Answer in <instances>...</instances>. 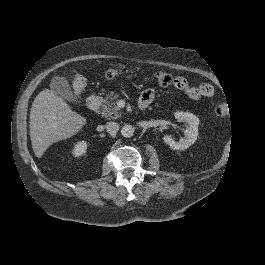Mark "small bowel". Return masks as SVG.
Returning <instances> with one entry per match:
<instances>
[{
  "label": "small bowel",
  "mask_w": 265,
  "mask_h": 265,
  "mask_svg": "<svg viewBox=\"0 0 265 265\" xmlns=\"http://www.w3.org/2000/svg\"><path fill=\"white\" fill-rule=\"evenodd\" d=\"M173 85L191 99L211 97L214 94V88L211 84L202 83L196 86H191L183 76L175 77L173 79ZM154 98L155 92L152 89L144 90L140 95L139 104L146 107L154 100Z\"/></svg>",
  "instance_id": "small-bowel-1"
}]
</instances>
